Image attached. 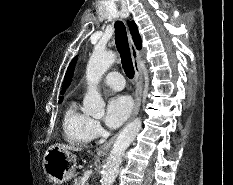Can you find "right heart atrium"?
Instances as JSON below:
<instances>
[{
    "label": "right heart atrium",
    "mask_w": 233,
    "mask_h": 185,
    "mask_svg": "<svg viewBox=\"0 0 233 185\" xmlns=\"http://www.w3.org/2000/svg\"><path fill=\"white\" fill-rule=\"evenodd\" d=\"M89 133L91 139L98 138L103 133V128L99 121L91 119L90 126H89Z\"/></svg>",
    "instance_id": "right-heart-atrium-1"
}]
</instances>
